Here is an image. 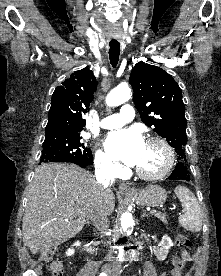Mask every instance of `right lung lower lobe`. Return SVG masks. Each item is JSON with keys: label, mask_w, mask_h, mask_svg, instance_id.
<instances>
[{"label": "right lung lower lobe", "mask_w": 221, "mask_h": 276, "mask_svg": "<svg viewBox=\"0 0 221 276\" xmlns=\"http://www.w3.org/2000/svg\"><path fill=\"white\" fill-rule=\"evenodd\" d=\"M71 163H75V164L81 166L82 168H85L88 165H92V163H86V162H71Z\"/></svg>", "instance_id": "1"}]
</instances>
